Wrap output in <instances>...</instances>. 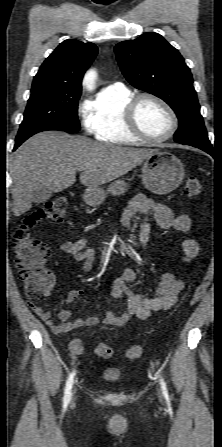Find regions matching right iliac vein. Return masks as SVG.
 <instances>
[{
    "label": "right iliac vein",
    "mask_w": 222,
    "mask_h": 447,
    "mask_svg": "<svg viewBox=\"0 0 222 447\" xmlns=\"http://www.w3.org/2000/svg\"><path fill=\"white\" fill-rule=\"evenodd\" d=\"M76 390H74L73 395H75Z\"/></svg>",
    "instance_id": "1"
}]
</instances>
